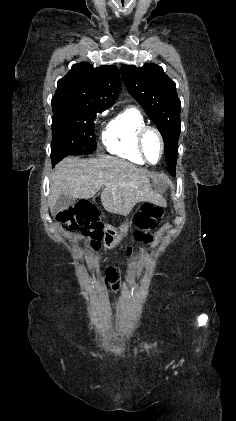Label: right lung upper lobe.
<instances>
[{
    "label": "right lung upper lobe",
    "mask_w": 236,
    "mask_h": 421,
    "mask_svg": "<svg viewBox=\"0 0 236 421\" xmlns=\"http://www.w3.org/2000/svg\"><path fill=\"white\" fill-rule=\"evenodd\" d=\"M120 90L118 69L113 66L94 68L86 62L75 64L57 82L53 99L90 102L111 107Z\"/></svg>",
    "instance_id": "1"
}]
</instances>
